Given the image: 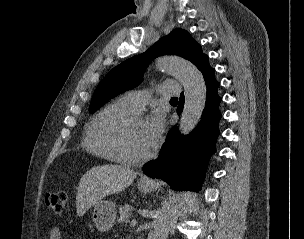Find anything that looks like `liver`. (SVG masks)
<instances>
[{"mask_svg":"<svg viewBox=\"0 0 304 239\" xmlns=\"http://www.w3.org/2000/svg\"><path fill=\"white\" fill-rule=\"evenodd\" d=\"M137 174L134 170L121 165H102L91 168L79 182L76 194L77 215L83 216L104 197L125 190L132 184Z\"/></svg>","mask_w":304,"mask_h":239,"instance_id":"1","label":"liver"}]
</instances>
